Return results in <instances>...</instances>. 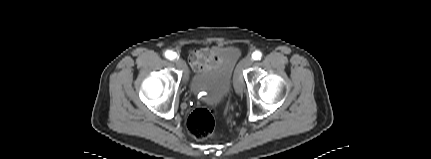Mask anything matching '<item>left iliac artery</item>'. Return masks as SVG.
<instances>
[{"instance_id":"obj_1","label":"left iliac artery","mask_w":431,"mask_h":159,"mask_svg":"<svg viewBox=\"0 0 431 159\" xmlns=\"http://www.w3.org/2000/svg\"><path fill=\"white\" fill-rule=\"evenodd\" d=\"M262 57V53L260 51H255L252 54V59L253 60H260Z\"/></svg>"}]
</instances>
